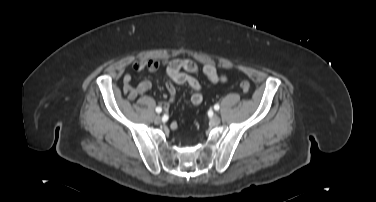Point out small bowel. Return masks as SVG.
Segmentation results:
<instances>
[{"instance_id":"c3829d8e","label":"small bowel","mask_w":376,"mask_h":202,"mask_svg":"<svg viewBox=\"0 0 376 202\" xmlns=\"http://www.w3.org/2000/svg\"><path fill=\"white\" fill-rule=\"evenodd\" d=\"M162 66L165 67V71L169 77V81L166 82L165 88L167 91V101L165 105H169L173 102L176 94V86L187 84L192 90L191 103L195 106L199 105L203 101V94L201 85L191 75L197 73L199 68L191 60L174 59L167 62H161L156 59L137 60L131 64V70L133 72H140L143 69H147L150 72L158 71ZM203 74L212 82L218 83L220 81L225 82L226 78L221 76L213 65L207 64L203 67ZM122 92L131 101L137 99L138 96L144 94L151 88L149 81H142L136 87H133L132 76L125 74L123 76ZM180 126L179 123H173L172 128L177 129Z\"/></svg>"}]
</instances>
